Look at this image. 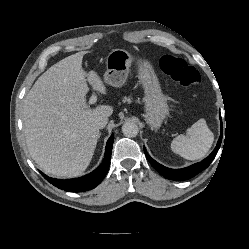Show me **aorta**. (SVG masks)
<instances>
[{
    "label": "aorta",
    "instance_id": "1",
    "mask_svg": "<svg viewBox=\"0 0 249 249\" xmlns=\"http://www.w3.org/2000/svg\"><path fill=\"white\" fill-rule=\"evenodd\" d=\"M138 125L132 121H127L122 126V133L126 137H136L138 135Z\"/></svg>",
    "mask_w": 249,
    "mask_h": 249
}]
</instances>
